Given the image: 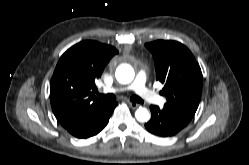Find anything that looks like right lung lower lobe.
<instances>
[{
	"label": "right lung lower lobe",
	"mask_w": 249,
	"mask_h": 165,
	"mask_svg": "<svg viewBox=\"0 0 249 165\" xmlns=\"http://www.w3.org/2000/svg\"><path fill=\"white\" fill-rule=\"evenodd\" d=\"M117 103H106L96 112L67 127V131L77 138H89L98 134L107 125Z\"/></svg>",
	"instance_id": "1"
}]
</instances>
